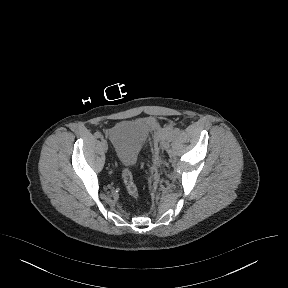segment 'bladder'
Wrapping results in <instances>:
<instances>
[{
	"instance_id": "obj_1",
	"label": "bladder",
	"mask_w": 288,
	"mask_h": 288,
	"mask_svg": "<svg viewBox=\"0 0 288 288\" xmlns=\"http://www.w3.org/2000/svg\"><path fill=\"white\" fill-rule=\"evenodd\" d=\"M148 134L149 126L142 121L119 123L110 129L108 135L118 162L123 165L133 164Z\"/></svg>"
}]
</instances>
